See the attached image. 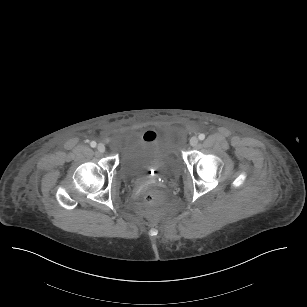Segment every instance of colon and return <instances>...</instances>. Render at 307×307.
<instances>
[{"label": "colon", "mask_w": 307, "mask_h": 307, "mask_svg": "<svg viewBox=\"0 0 307 307\" xmlns=\"http://www.w3.org/2000/svg\"><path fill=\"white\" fill-rule=\"evenodd\" d=\"M160 137L159 130H148L143 134V139L147 142H154ZM146 202L151 206H158L162 202V195L158 191H151L145 196Z\"/></svg>", "instance_id": "colon-1"}]
</instances>
